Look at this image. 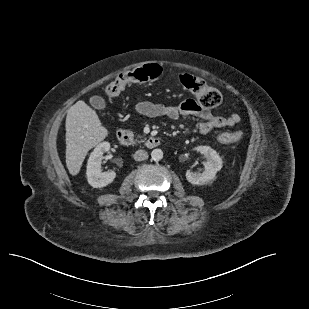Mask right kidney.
<instances>
[{
	"label": "right kidney",
	"instance_id": "obj_1",
	"mask_svg": "<svg viewBox=\"0 0 309 309\" xmlns=\"http://www.w3.org/2000/svg\"><path fill=\"white\" fill-rule=\"evenodd\" d=\"M110 150L109 142H102L98 144L91 152L87 162V180L94 188H102L112 183L116 177L114 171L102 172L101 162L103 154Z\"/></svg>",
	"mask_w": 309,
	"mask_h": 309
}]
</instances>
